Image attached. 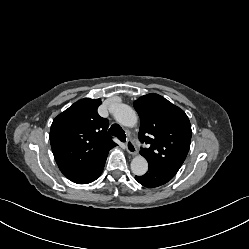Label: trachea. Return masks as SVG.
Segmentation results:
<instances>
[{
	"instance_id": "obj_1",
	"label": "trachea",
	"mask_w": 249,
	"mask_h": 249,
	"mask_svg": "<svg viewBox=\"0 0 249 249\" xmlns=\"http://www.w3.org/2000/svg\"><path fill=\"white\" fill-rule=\"evenodd\" d=\"M109 134L117 137L120 141L125 142L126 135L123 129L118 124H113L109 129Z\"/></svg>"
}]
</instances>
